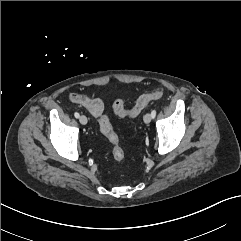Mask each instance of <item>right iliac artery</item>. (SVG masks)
<instances>
[{"instance_id":"82829eb1","label":"right iliac artery","mask_w":241,"mask_h":241,"mask_svg":"<svg viewBox=\"0 0 241 241\" xmlns=\"http://www.w3.org/2000/svg\"><path fill=\"white\" fill-rule=\"evenodd\" d=\"M74 116H75L76 118H79L80 115H79L78 112H75V113H74Z\"/></svg>"}]
</instances>
